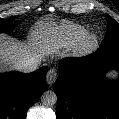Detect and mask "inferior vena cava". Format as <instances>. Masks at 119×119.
<instances>
[{
	"mask_svg": "<svg viewBox=\"0 0 119 119\" xmlns=\"http://www.w3.org/2000/svg\"><path fill=\"white\" fill-rule=\"evenodd\" d=\"M40 61L36 58H32L18 66V69L24 73L36 71L39 67Z\"/></svg>",
	"mask_w": 119,
	"mask_h": 119,
	"instance_id": "inferior-vena-cava-1",
	"label": "inferior vena cava"
}]
</instances>
